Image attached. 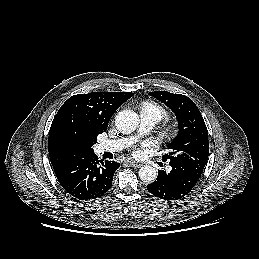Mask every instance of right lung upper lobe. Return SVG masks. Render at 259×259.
<instances>
[{"instance_id": "obj_1", "label": "right lung upper lobe", "mask_w": 259, "mask_h": 259, "mask_svg": "<svg viewBox=\"0 0 259 259\" xmlns=\"http://www.w3.org/2000/svg\"><path fill=\"white\" fill-rule=\"evenodd\" d=\"M131 92H93L70 97L59 109L50 127L48 151L51 162L56 154V138L64 130H73L86 138H97L106 131L112 114L130 97Z\"/></svg>"}]
</instances>
